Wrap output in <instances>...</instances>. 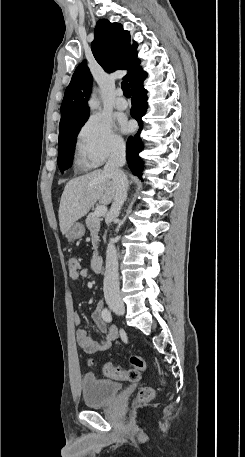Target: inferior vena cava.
I'll list each match as a JSON object with an SVG mask.
<instances>
[{
  "instance_id": "1",
  "label": "inferior vena cava",
  "mask_w": 245,
  "mask_h": 457,
  "mask_svg": "<svg viewBox=\"0 0 245 457\" xmlns=\"http://www.w3.org/2000/svg\"><path fill=\"white\" fill-rule=\"evenodd\" d=\"M125 162V142H117V144H114L111 154L104 166L105 174H108L116 184L114 202H112L108 212V216L111 220L116 218V216H119L120 208L127 196L128 178L120 168V166H124ZM114 243H116L115 239H110L107 247L106 271L103 283L105 297H113V295H119L120 293L118 255Z\"/></svg>"
}]
</instances>
